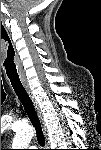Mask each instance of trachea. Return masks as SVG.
Here are the masks:
<instances>
[{
  "label": "trachea",
  "mask_w": 101,
  "mask_h": 150,
  "mask_svg": "<svg viewBox=\"0 0 101 150\" xmlns=\"http://www.w3.org/2000/svg\"><path fill=\"white\" fill-rule=\"evenodd\" d=\"M11 85L18 96L19 100L21 101L22 105L24 106V109L32 123V125L36 129V135H37V141L40 146H44L45 144V138L41 129L40 121L37 116L36 110L34 108V105L25 90L23 84L21 83L20 79H14V78H9Z\"/></svg>",
  "instance_id": "3493384b"
}]
</instances>
